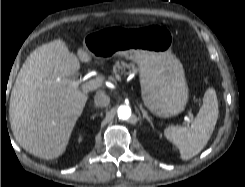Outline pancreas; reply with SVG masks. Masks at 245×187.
I'll list each match as a JSON object with an SVG mask.
<instances>
[{"instance_id":"1","label":"pancreas","mask_w":245,"mask_h":187,"mask_svg":"<svg viewBox=\"0 0 245 187\" xmlns=\"http://www.w3.org/2000/svg\"><path fill=\"white\" fill-rule=\"evenodd\" d=\"M126 69L129 70V73H137L138 68L134 63H126L124 61H117L113 66V74L117 80H121L122 77L126 74Z\"/></svg>"}]
</instances>
